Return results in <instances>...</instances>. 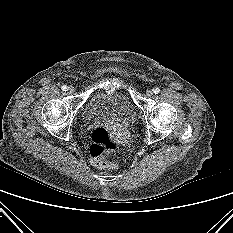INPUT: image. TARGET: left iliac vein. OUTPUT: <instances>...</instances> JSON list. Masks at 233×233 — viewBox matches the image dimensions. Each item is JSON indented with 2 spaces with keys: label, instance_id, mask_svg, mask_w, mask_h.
<instances>
[{
  "label": "left iliac vein",
  "instance_id": "4c4485c4",
  "mask_svg": "<svg viewBox=\"0 0 233 233\" xmlns=\"http://www.w3.org/2000/svg\"><path fill=\"white\" fill-rule=\"evenodd\" d=\"M153 94H154V91L151 90V89H149V90L146 91V95H147L148 97L152 96Z\"/></svg>",
  "mask_w": 233,
  "mask_h": 233
}]
</instances>
